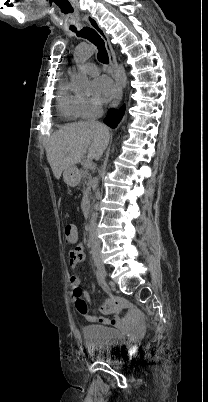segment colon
Wrapping results in <instances>:
<instances>
[{"mask_svg":"<svg viewBox=\"0 0 208 402\" xmlns=\"http://www.w3.org/2000/svg\"><path fill=\"white\" fill-rule=\"evenodd\" d=\"M63 239L66 244L72 245V244H78V234H77V229L74 224H66L63 227ZM73 261V260H72ZM74 305L75 308L78 312L80 313H85L86 312V302L82 298H75L74 300Z\"/></svg>","mask_w":208,"mask_h":402,"instance_id":"1","label":"colon"}]
</instances>
